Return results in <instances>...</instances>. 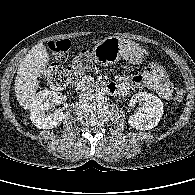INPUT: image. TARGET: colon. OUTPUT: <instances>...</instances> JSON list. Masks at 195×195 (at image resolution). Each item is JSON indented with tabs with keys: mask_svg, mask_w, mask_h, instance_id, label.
I'll use <instances>...</instances> for the list:
<instances>
[{
	"mask_svg": "<svg viewBox=\"0 0 195 195\" xmlns=\"http://www.w3.org/2000/svg\"><path fill=\"white\" fill-rule=\"evenodd\" d=\"M48 48L59 60H65L68 57L71 42L69 40H59L50 42ZM90 67V53L84 50L77 57L75 62L69 66H63L58 63L51 64L45 71V78L50 86L61 89L73 84L77 78ZM147 71L159 80H168L166 70L162 65L152 62L147 67ZM173 99L181 102L184 99V91L179 89L173 94Z\"/></svg>",
	"mask_w": 195,
	"mask_h": 195,
	"instance_id": "1",
	"label": "colon"
}]
</instances>
